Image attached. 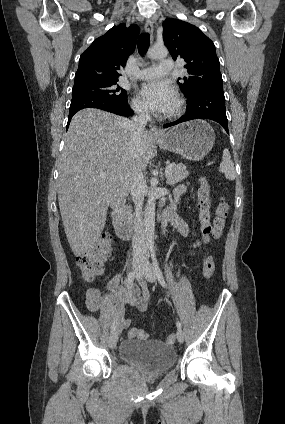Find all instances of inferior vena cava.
I'll return each instance as SVG.
<instances>
[{
  "label": "inferior vena cava",
  "mask_w": 285,
  "mask_h": 424,
  "mask_svg": "<svg viewBox=\"0 0 285 424\" xmlns=\"http://www.w3.org/2000/svg\"><path fill=\"white\" fill-rule=\"evenodd\" d=\"M135 116L129 122L131 132V155L133 159L137 158L138 148L140 145L141 137L145 132L147 122L151 120L148 110L140 105L133 107ZM144 177L142 170L139 166H135L130 178V194L132 201L135 205V212L133 215V258L138 261L147 260L145 234L142 222V206L144 200Z\"/></svg>",
  "instance_id": "obj_1"
}]
</instances>
